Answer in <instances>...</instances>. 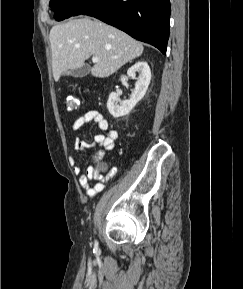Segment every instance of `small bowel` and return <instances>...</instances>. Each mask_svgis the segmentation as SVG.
Here are the masks:
<instances>
[{
	"mask_svg": "<svg viewBox=\"0 0 243 289\" xmlns=\"http://www.w3.org/2000/svg\"><path fill=\"white\" fill-rule=\"evenodd\" d=\"M90 122L96 123L103 133L96 134L92 142H86L77 136L74 142V150L85 151L93 147H100L102 149L95 153L93 164L88 166L83 173L80 167L75 165L74 159H71V163L74 166V172L78 175L80 186L86 191L88 197H93L105 188V183L112 178L115 173L114 169H112L107 176L101 175L98 163L102 160L105 151L113 149L118 133L116 130L109 128L107 119L95 108L85 110L83 114L72 123V128L79 130Z\"/></svg>",
	"mask_w": 243,
	"mask_h": 289,
	"instance_id": "c3829d8e",
	"label": "small bowel"
}]
</instances>
